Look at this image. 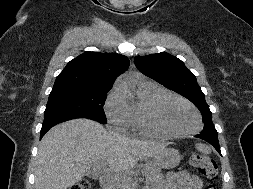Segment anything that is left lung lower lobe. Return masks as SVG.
<instances>
[{
  "mask_svg": "<svg viewBox=\"0 0 253 189\" xmlns=\"http://www.w3.org/2000/svg\"><path fill=\"white\" fill-rule=\"evenodd\" d=\"M195 137L201 138L207 142H209L221 155L219 142H218V134H208L201 132L200 134L196 135Z\"/></svg>",
  "mask_w": 253,
  "mask_h": 189,
  "instance_id": "left-lung-lower-lobe-1",
  "label": "left lung lower lobe"
}]
</instances>
